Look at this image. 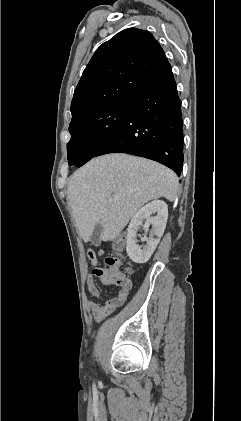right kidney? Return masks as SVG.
I'll use <instances>...</instances> for the list:
<instances>
[{"label": "right kidney", "instance_id": "right-kidney-1", "mask_svg": "<svg viewBox=\"0 0 241 421\" xmlns=\"http://www.w3.org/2000/svg\"><path fill=\"white\" fill-rule=\"evenodd\" d=\"M168 219V206L164 201L154 200L139 209L132 217L128 226L126 251L129 258L135 263L147 262L162 237ZM145 223L143 225V221ZM152 226L149 237L144 236L145 245L137 244V232L140 226L145 231Z\"/></svg>", "mask_w": 241, "mask_h": 421}]
</instances>
